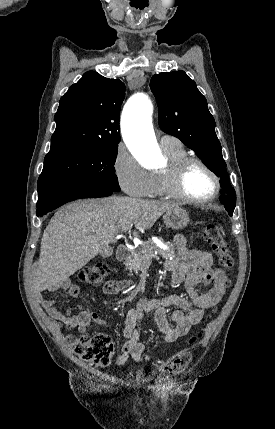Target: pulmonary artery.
<instances>
[{"label":"pulmonary artery","instance_id":"obj_1","mask_svg":"<svg viewBox=\"0 0 275 429\" xmlns=\"http://www.w3.org/2000/svg\"><path fill=\"white\" fill-rule=\"evenodd\" d=\"M159 142L162 148L181 146V142L177 138L167 134L162 135L159 139Z\"/></svg>","mask_w":275,"mask_h":429}]
</instances>
